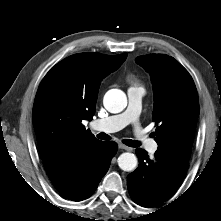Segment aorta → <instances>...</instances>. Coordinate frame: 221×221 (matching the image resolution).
<instances>
[{
	"mask_svg": "<svg viewBox=\"0 0 221 221\" xmlns=\"http://www.w3.org/2000/svg\"><path fill=\"white\" fill-rule=\"evenodd\" d=\"M104 107L111 113H119L127 105V98L119 89L109 90L103 99ZM118 165L123 171H133L137 166V158L133 153L125 152L118 157Z\"/></svg>",
	"mask_w": 221,
	"mask_h": 221,
	"instance_id": "aorta-1",
	"label": "aorta"
}]
</instances>
